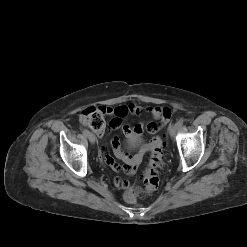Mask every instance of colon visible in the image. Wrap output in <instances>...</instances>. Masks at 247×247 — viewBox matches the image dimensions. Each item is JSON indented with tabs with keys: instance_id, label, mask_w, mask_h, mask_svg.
<instances>
[{
	"instance_id": "colon-1",
	"label": "colon",
	"mask_w": 247,
	"mask_h": 247,
	"mask_svg": "<svg viewBox=\"0 0 247 247\" xmlns=\"http://www.w3.org/2000/svg\"><path fill=\"white\" fill-rule=\"evenodd\" d=\"M80 120L85 126L99 134L105 130L106 113L103 107H89L85 109L80 115ZM163 167L164 160L160 142L152 147L150 159L144 174L145 189L128 188L124 192V199L129 203H133L143 195L154 192L160 185L161 178L159 171Z\"/></svg>"
}]
</instances>
